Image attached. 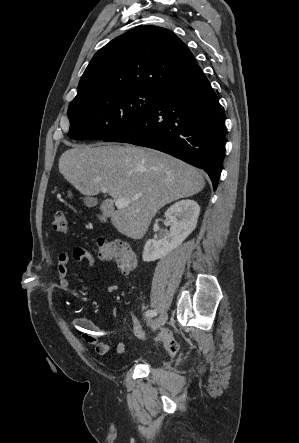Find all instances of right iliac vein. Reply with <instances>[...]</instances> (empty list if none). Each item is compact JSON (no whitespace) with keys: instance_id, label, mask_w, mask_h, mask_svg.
I'll return each mask as SVG.
<instances>
[{"instance_id":"1","label":"right iliac vein","mask_w":299,"mask_h":443,"mask_svg":"<svg viewBox=\"0 0 299 443\" xmlns=\"http://www.w3.org/2000/svg\"><path fill=\"white\" fill-rule=\"evenodd\" d=\"M167 321V314L163 313L161 314L158 318H156L153 322H152V328L153 330H157L160 327H162L165 322Z\"/></svg>"}]
</instances>
